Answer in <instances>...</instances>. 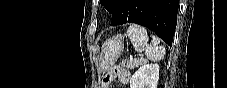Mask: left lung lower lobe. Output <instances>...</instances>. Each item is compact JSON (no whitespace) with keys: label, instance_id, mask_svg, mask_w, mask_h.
<instances>
[{"label":"left lung lower lobe","instance_id":"1","mask_svg":"<svg viewBox=\"0 0 227 88\" xmlns=\"http://www.w3.org/2000/svg\"><path fill=\"white\" fill-rule=\"evenodd\" d=\"M178 8L179 0H120L111 25L136 23L146 26L171 47Z\"/></svg>","mask_w":227,"mask_h":88}]
</instances>
